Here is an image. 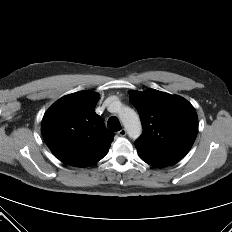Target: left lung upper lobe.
<instances>
[{"label": "left lung upper lobe", "mask_w": 232, "mask_h": 232, "mask_svg": "<svg viewBox=\"0 0 232 232\" xmlns=\"http://www.w3.org/2000/svg\"><path fill=\"white\" fill-rule=\"evenodd\" d=\"M143 126L135 142L140 157L181 159L191 149L198 131L194 107L184 98L154 89L130 92Z\"/></svg>", "instance_id": "left-lung-upper-lobe-1"}]
</instances>
